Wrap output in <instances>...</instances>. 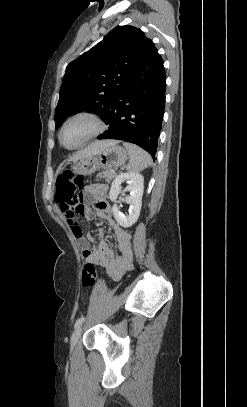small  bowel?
Instances as JSON below:
<instances>
[{
    "instance_id": "c3829d8e",
    "label": "small bowel",
    "mask_w": 247,
    "mask_h": 407,
    "mask_svg": "<svg viewBox=\"0 0 247 407\" xmlns=\"http://www.w3.org/2000/svg\"><path fill=\"white\" fill-rule=\"evenodd\" d=\"M86 200H94L96 209L92 210L83 200L78 198L69 202L60 203V209L64 214L67 223L82 249V256L88 263L102 266L106 269L108 275L118 280L133 266V253L131 248V236L123 229L112 214V208L106 199L107 187L105 185H91L86 189ZM77 214L86 219H92L98 216L113 230L117 241L118 253L109 246L105 240V232L100 229L98 232V246L93 248L91 243L95 238L91 235L84 236Z\"/></svg>"
}]
</instances>
